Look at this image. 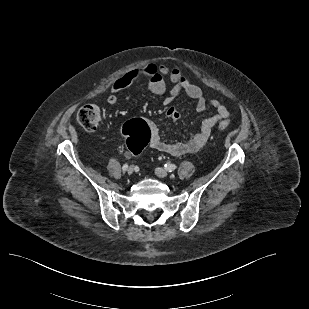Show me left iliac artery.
I'll return each instance as SVG.
<instances>
[{"label":"left iliac artery","instance_id":"1","mask_svg":"<svg viewBox=\"0 0 309 309\" xmlns=\"http://www.w3.org/2000/svg\"><path fill=\"white\" fill-rule=\"evenodd\" d=\"M164 167L168 172H172L177 168L175 164H171V163L165 164Z\"/></svg>","mask_w":309,"mask_h":309}]
</instances>
